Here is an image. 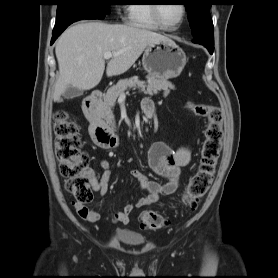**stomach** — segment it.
<instances>
[{"mask_svg":"<svg viewBox=\"0 0 278 278\" xmlns=\"http://www.w3.org/2000/svg\"><path fill=\"white\" fill-rule=\"evenodd\" d=\"M186 62L184 51L170 39L149 44L142 58L144 70L150 76L163 79L178 77Z\"/></svg>","mask_w":278,"mask_h":278,"instance_id":"obj_1","label":"stomach"}]
</instances>
